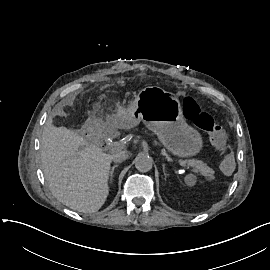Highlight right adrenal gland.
I'll use <instances>...</instances> for the list:
<instances>
[{
	"instance_id": "right-adrenal-gland-1",
	"label": "right adrenal gland",
	"mask_w": 270,
	"mask_h": 270,
	"mask_svg": "<svg viewBox=\"0 0 270 270\" xmlns=\"http://www.w3.org/2000/svg\"><path fill=\"white\" fill-rule=\"evenodd\" d=\"M116 167H118L117 164H115V165L111 168V170H110V183H111L112 180H113V173H114V170H115Z\"/></svg>"
}]
</instances>
